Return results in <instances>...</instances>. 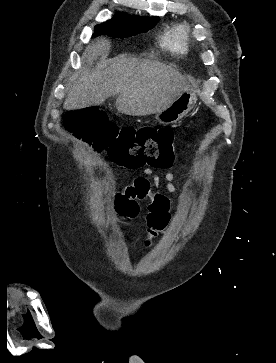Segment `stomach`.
<instances>
[{
	"mask_svg": "<svg viewBox=\"0 0 276 363\" xmlns=\"http://www.w3.org/2000/svg\"><path fill=\"white\" fill-rule=\"evenodd\" d=\"M197 97L193 91H183L167 107L155 113V119L164 125L176 123L194 107Z\"/></svg>",
	"mask_w": 276,
	"mask_h": 363,
	"instance_id": "stomach-1",
	"label": "stomach"
}]
</instances>
